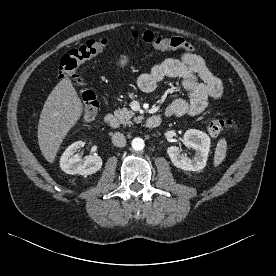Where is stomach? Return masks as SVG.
<instances>
[{"label":"stomach","mask_w":276,"mask_h":276,"mask_svg":"<svg viewBox=\"0 0 276 276\" xmlns=\"http://www.w3.org/2000/svg\"><path fill=\"white\" fill-rule=\"evenodd\" d=\"M129 63V58L126 55H122L118 61V65L122 68L126 67Z\"/></svg>","instance_id":"0dacf381"}]
</instances>
